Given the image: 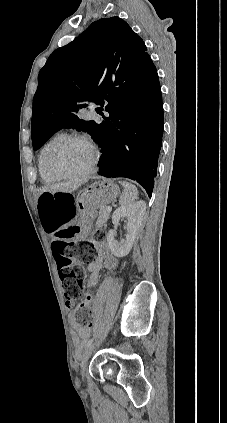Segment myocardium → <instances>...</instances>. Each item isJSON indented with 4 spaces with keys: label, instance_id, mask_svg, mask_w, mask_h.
Instances as JSON below:
<instances>
[{
    "label": "myocardium",
    "instance_id": "f54148a6",
    "mask_svg": "<svg viewBox=\"0 0 227 423\" xmlns=\"http://www.w3.org/2000/svg\"><path fill=\"white\" fill-rule=\"evenodd\" d=\"M75 142L83 143L89 146L93 150L94 157H93V161L91 165L85 171L81 173L73 174L64 170L57 163L56 157L64 147ZM99 157H100V154L98 149L87 137L83 135L72 134V135H66L62 137L55 144H53L46 153L45 161H46V166L48 170L54 175H56L57 177L70 180V181H76V180L84 179L96 171L97 165L99 162Z\"/></svg>",
    "mask_w": 227,
    "mask_h": 423
}]
</instances>
